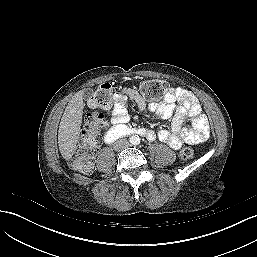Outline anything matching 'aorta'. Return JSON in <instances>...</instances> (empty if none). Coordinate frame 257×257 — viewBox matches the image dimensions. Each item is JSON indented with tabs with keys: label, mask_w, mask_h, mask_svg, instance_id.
I'll use <instances>...</instances> for the list:
<instances>
[{
	"label": "aorta",
	"mask_w": 257,
	"mask_h": 257,
	"mask_svg": "<svg viewBox=\"0 0 257 257\" xmlns=\"http://www.w3.org/2000/svg\"><path fill=\"white\" fill-rule=\"evenodd\" d=\"M130 142L133 145L139 144L140 143V137L138 135H133L130 137Z\"/></svg>",
	"instance_id": "aorta-1"
}]
</instances>
